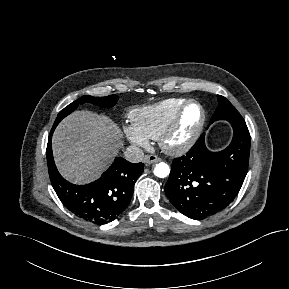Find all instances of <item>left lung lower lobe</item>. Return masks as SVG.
<instances>
[{"instance_id": "1", "label": "left lung lower lobe", "mask_w": 289, "mask_h": 289, "mask_svg": "<svg viewBox=\"0 0 289 289\" xmlns=\"http://www.w3.org/2000/svg\"><path fill=\"white\" fill-rule=\"evenodd\" d=\"M232 127L233 139L225 150L209 151L202 134L185 156L173 160L165 193L185 216L204 219L238 194L248 170L250 134L246 125Z\"/></svg>"}]
</instances>
